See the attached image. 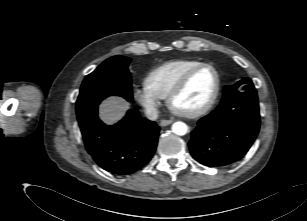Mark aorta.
I'll return each instance as SVG.
<instances>
[{
    "label": "aorta",
    "mask_w": 307,
    "mask_h": 221,
    "mask_svg": "<svg viewBox=\"0 0 307 221\" xmlns=\"http://www.w3.org/2000/svg\"><path fill=\"white\" fill-rule=\"evenodd\" d=\"M187 131H188V127L183 122H180V121L175 122L172 125V132L175 133L176 135L183 136L187 133Z\"/></svg>",
    "instance_id": "762f6f07"
}]
</instances>
